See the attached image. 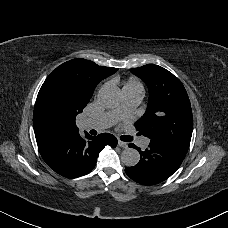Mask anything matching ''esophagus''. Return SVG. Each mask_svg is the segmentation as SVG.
Returning <instances> with one entry per match:
<instances>
[{"label":"esophagus","mask_w":228,"mask_h":228,"mask_svg":"<svg viewBox=\"0 0 228 228\" xmlns=\"http://www.w3.org/2000/svg\"><path fill=\"white\" fill-rule=\"evenodd\" d=\"M118 146L124 149L128 148V144L121 140L118 141Z\"/></svg>","instance_id":"1"}]
</instances>
